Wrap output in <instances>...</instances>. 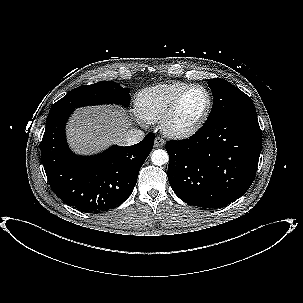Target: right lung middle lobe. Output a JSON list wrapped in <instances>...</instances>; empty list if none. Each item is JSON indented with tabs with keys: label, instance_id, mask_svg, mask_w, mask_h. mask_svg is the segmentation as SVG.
Returning a JSON list of instances; mask_svg holds the SVG:
<instances>
[{
	"label": "right lung middle lobe",
	"instance_id": "right-lung-middle-lobe-1",
	"mask_svg": "<svg viewBox=\"0 0 303 303\" xmlns=\"http://www.w3.org/2000/svg\"><path fill=\"white\" fill-rule=\"evenodd\" d=\"M106 103H116L127 107L130 103L129 89L122 88L113 81H101L80 86L54 103L49 112L74 110L83 106Z\"/></svg>",
	"mask_w": 303,
	"mask_h": 303
}]
</instances>
